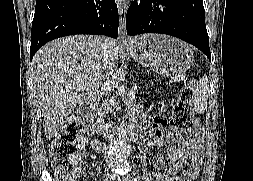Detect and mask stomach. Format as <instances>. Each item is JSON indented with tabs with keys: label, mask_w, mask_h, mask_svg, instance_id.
<instances>
[{
	"label": "stomach",
	"mask_w": 253,
	"mask_h": 181,
	"mask_svg": "<svg viewBox=\"0 0 253 181\" xmlns=\"http://www.w3.org/2000/svg\"><path fill=\"white\" fill-rule=\"evenodd\" d=\"M125 48L138 63L162 75L181 74L193 63V54L183 41L160 34L133 38Z\"/></svg>",
	"instance_id": "stomach-1"
}]
</instances>
